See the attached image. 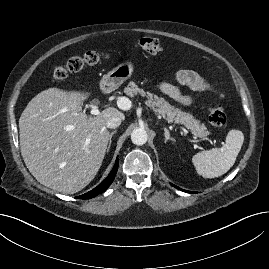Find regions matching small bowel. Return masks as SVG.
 I'll return each instance as SVG.
<instances>
[{"label":"small bowel","mask_w":269,"mask_h":269,"mask_svg":"<svg viewBox=\"0 0 269 269\" xmlns=\"http://www.w3.org/2000/svg\"><path fill=\"white\" fill-rule=\"evenodd\" d=\"M175 80L177 84L187 86L195 92L213 91L212 86L201 75L190 69L179 70L176 73ZM159 89L163 94L182 105L189 106L193 102V99L190 96L182 94L179 88L172 83L161 82L159 84Z\"/></svg>","instance_id":"obj_1"}]
</instances>
